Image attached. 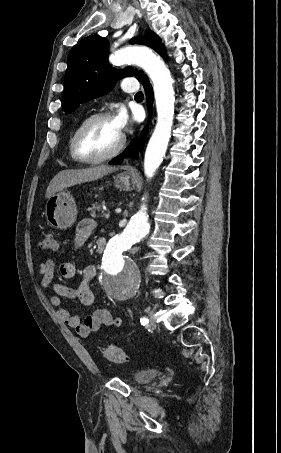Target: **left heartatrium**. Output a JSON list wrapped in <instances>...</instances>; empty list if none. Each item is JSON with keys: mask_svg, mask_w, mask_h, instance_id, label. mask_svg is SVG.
Listing matches in <instances>:
<instances>
[{"mask_svg": "<svg viewBox=\"0 0 281 453\" xmlns=\"http://www.w3.org/2000/svg\"><path fill=\"white\" fill-rule=\"evenodd\" d=\"M116 127L123 132L128 126L139 120L137 114H134L132 117L129 115L127 109L123 106H119L112 118Z\"/></svg>", "mask_w": 281, "mask_h": 453, "instance_id": "1", "label": "left heart atrium"}]
</instances>
